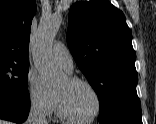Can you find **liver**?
Instances as JSON below:
<instances>
[{
  "mask_svg": "<svg viewBox=\"0 0 156 124\" xmlns=\"http://www.w3.org/2000/svg\"><path fill=\"white\" fill-rule=\"evenodd\" d=\"M0 124H11V123H9L7 121L0 120Z\"/></svg>",
  "mask_w": 156,
  "mask_h": 124,
  "instance_id": "1",
  "label": "liver"
}]
</instances>
